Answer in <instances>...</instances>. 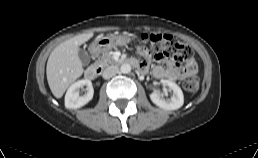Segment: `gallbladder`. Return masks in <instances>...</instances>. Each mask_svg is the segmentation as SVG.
<instances>
[{
  "mask_svg": "<svg viewBox=\"0 0 258 158\" xmlns=\"http://www.w3.org/2000/svg\"><path fill=\"white\" fill-rule=\"evenodd\" d=\"M78 56L83 65H88L90 62V54L85 49H79Z\"/></svg>",
  "mask_w": 258,
  "mask_h": 158,
  "instance_id": "obj_1",
  "label": "gallbladder"
}]
</instances>
